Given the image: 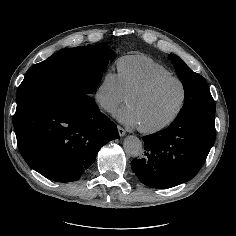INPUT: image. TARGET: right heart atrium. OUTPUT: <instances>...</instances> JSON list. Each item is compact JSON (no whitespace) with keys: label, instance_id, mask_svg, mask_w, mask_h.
<instances>
[{"label":"right heart atrium","instance_id":"obj_1","mask_svg":"<svg viewBox=\"0 0 236 236\" xmlns=\"http://www.w3.org/2000/svg\"><path fill=\"white\" fill-rule=\"evenodd\" d=\"M128 94L124 91L118 73L107 70L94 90V99L101 109L113 112L126 103Z\"/></svg>","mask_w":236,"mask_h":236}]
</instances>
